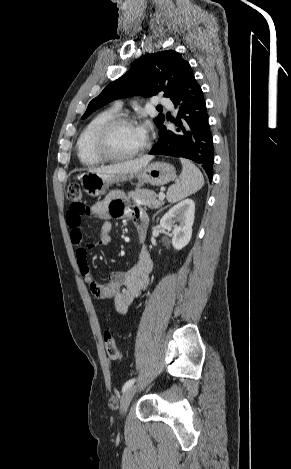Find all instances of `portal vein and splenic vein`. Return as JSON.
Masks as SVG:
<instances>
[{
  "instance_id": "18ae733b",
  "label": "portal vein and splenic vein",
  "mask_w": 291,
  "mask_h": 469,
  "mask_svg": "<svg viewBox=\"0 0 291 469\" xmlns=\"http://www.w3.org/2000/svg\"><path fill=\"white\" fill-rule=\"evenodd\" d=\"M159 200H164L165 194L163 192H160L158 195Z\"/></svg>"
}]
</instances>
